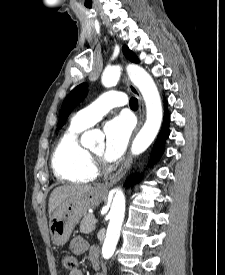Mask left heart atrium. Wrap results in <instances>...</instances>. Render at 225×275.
<instances>
[{
    "label": "left heart atrium",
    "instance_id": "obj_1",
    "mask_svg": "<svg viewBox=\"0 0 225 275\" xmlns=\"http://www.w3.org/2000/svg\"><path fill=\"white\" fill-rule=\"evenodd\" d=\"M105 135L104 158L109 161L117 160L124 152L130 134L132 124L125 116L115 117L104 125Z\"/></svg>",
    "mask_w": 225,
    "mask_h": 275
}]
</instances>
